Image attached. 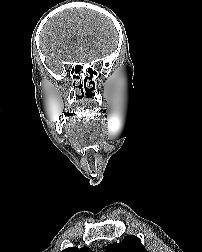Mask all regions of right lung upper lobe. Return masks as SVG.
<instances>
[{
  "label": "right lung upper lobe",
  "mask_w": 202,
  "mask_h": 252,
  "mask_svg": "<svg viewBox=\"0 0 202 252\" xmlns=\"http://www.w3.org/2000/svg\"><path fill=\"white\" fill-rule=\"evenodd\" d=\"M62 252H92V251L88 247H83L81 249H78L76 247H69V248L63 250Z\"/></svg>",
  "instance_id": "obj_1"
}]
</instances>
